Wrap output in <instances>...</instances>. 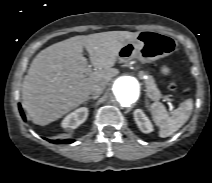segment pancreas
Here are the masks:
<instances>
[{
	"instance_id": "obj_1",
	"label": "pancreas",
	"mask_w": 212,
	"mask_h": 183,
	"mask_svg": "<svg viewBox=\"0 0 212 183\" xmlns=\"http://www.w3.org/2000/svg\"><path fill=\"white\" fill-rule=\"evenodd\" d=\"M144 82H145L147 96L154 101L159 100L161 98V93L159 89L157 88L153 77L149 76Z\"/></svg>"
}]
</instances>
